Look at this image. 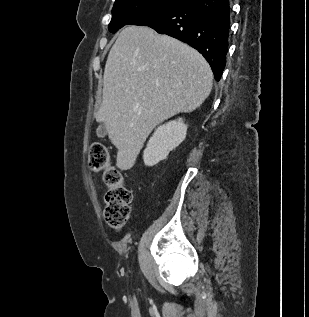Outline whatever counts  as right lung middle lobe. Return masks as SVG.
I'll return each instance as SVG.
<instances>
[{
    "instance_id": "dd1d6c3e",
    "label": "right lung middle lobe",
    "mask_w": 309,
    "mask_h": 317,
    "mask_svg": "<svg viewBox=\"0 0 309 317\" xmlns=\"http://www.w3.org/2000/svg\"><path fill=\"white\" fill-rule=\"evenodd\" d=\"M183 0H116L112 9V20L108 26L110 32L115 33L136 18L182 2Z\"/></svg>"
}]
</instances>
